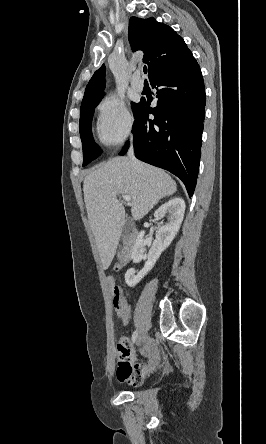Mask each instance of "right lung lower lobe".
<instances>
[{"instance_id": "1", "label": "right lung lower lobe", "mask_w": 266, "mask_h": 444, "mask_svg": "<svg viewBox=\"0 0 266 444\" xmlns=\"http://www.w3.org/2000/svg\"><path fill=\"white\" fill-rule=\"evenodd\" d=\"M158 102L140 101L134 115L135 157L170 171L193 195L201 156L206 96L201 70L193 57L187 63L155 75ZM149 113L154 120L149 119ZM128 144L119 155H124Z\"/></svg>"}]
</instances>
